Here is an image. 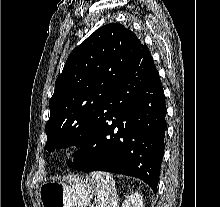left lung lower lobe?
Returning a JSON list of instances; mask_svg holds the SVG:
<instances>
[{
	"label": "left lung lower lobe",
	"instance_id": "0a47b994",
	"mask_svg": "<svg viewBox=\"0 0 220 207\" xmlns=\"http://www.w3.org/2000/svg\"><path fill=\"white\" fill-rule=\"evenodd\" d=\"M164 91L141 44L70 166L139 178L157 191L166 130Z\"/></svg>",
	"mask_w": 220,
	"mask_h": 207
}]
</instances>
